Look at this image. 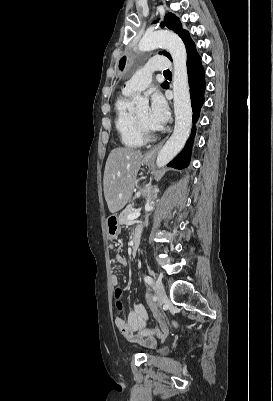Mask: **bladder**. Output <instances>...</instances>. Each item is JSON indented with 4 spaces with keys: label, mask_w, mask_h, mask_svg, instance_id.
Segmentation results:
<instances>
[{
    "label": "bladder",
    "mask_w": 273,
    "mask_h": 401,
    "mask_svg": "<svg viewBox=\"0 0 273 401\" xmlns=\"http://www.w3.org/2000/svg\"><path fill=\"white\" fill-rule=\"evenodd\" d=\"M168 352V349L167 348H160L159 350H158V353H160V354H166Z\"/></svg>",
    "instance_id": "1"
}]
</instances>
